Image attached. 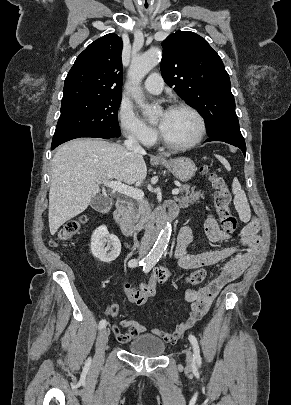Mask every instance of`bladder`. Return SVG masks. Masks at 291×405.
Returning <instances> with one entry per match:
<instances>
[{
	"instance_id": "obj_1",
	"label": "bladder",
	"mask_w": 291,
	"mask_h": 405,
	"mask_svg": "<svg viewBox=\"0 0 291 405\" xmlns=\"http://www.w3.org/2000/svg\"><path fill=\"white\" fill-rule=\"evenodd\" d=\"M128 351L135 355L144 357H158L165 351L164 342L150 334H144L133 340L129 346Z\"/></svg>"
}]
</instances>
